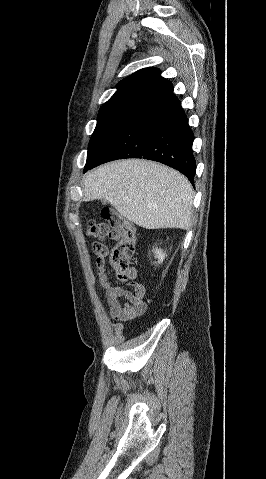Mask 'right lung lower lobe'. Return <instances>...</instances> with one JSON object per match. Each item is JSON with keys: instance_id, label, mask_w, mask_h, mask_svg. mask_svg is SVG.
Masks as SVG:
<instances>
[{"instance_id": "right-lung-lower-lobe-1", "label": "right lung lower lobe", "mask_w": 266, "mask_h": 479, "mask_svg": "<svg viewBox=\"0 0 266 479\" xmlns=\"http://www.w3.org/2000/svg\"><path fill=\"white\" fill-rule=\"evenodd\" d=\"M193 140L185 112L171 91L139 111L84 172L116 159L144 158L180 171L194 185Z\"/></svg>"}]
</instances>
